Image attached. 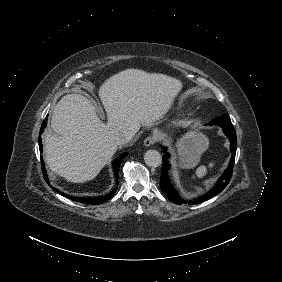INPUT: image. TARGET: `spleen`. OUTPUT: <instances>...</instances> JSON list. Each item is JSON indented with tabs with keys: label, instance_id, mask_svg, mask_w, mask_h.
<instances>
[{
	"label": "spleen",
	"instance_id": "1",
	"mask_svg": "<svg viewBox=\"0 0 282 282\" xmlns=\"http://www.w3.org/2000/svg\"><path fill=\"white\" fill-rule=\"evenodd\" d=\"M213 166H214L213 163H210V164H209V167H210V168L213 167ZM206 174H207V168H206L204 165H201V166H199V167L197 168V170H196V176H197L198 178H203Z\"/></svg>",
	"mask_w": 282,
	"mask_h": 282
}]
</instances>
